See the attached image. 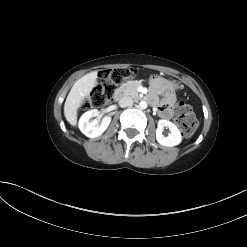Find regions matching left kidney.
<instances>
[{
	"label": "left kidney",
	"instance_id": "5707ae66",
	"mask_svg": "<svg viewBox=\"0 0 247 247\" xmlns=\"http://www.w3.org/2000/svg\"><path fill=\"white\" fill-rule=\"evenodd\" d=\"M157 126L156 140L159 144L167 147H173L181 143L182 135L174 123L167 120H159ZM164 127H168L171 132L167 137L162 134Z\"/></svg>",
	"mask_w": 247,
	"mask_h": 247
}]
</instances>
